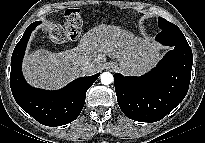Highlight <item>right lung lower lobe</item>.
<instances>
[{"mask_svg":"<svg viewBox=\"0 0 205 143\" xmlns=\"http://www.w3.org/2000/svg\"><path fill=\"white\" fill-rule=\"evenodd\" d=\"M34 22L25 30L11 58L10 86L15 101L30 116L46 126H61L74 121L81 113L86 92L100 73L80 77L58 91L35 89L28 85L21 72V63Z\"/></svg>","mask_w":205,"mask_h":143,"instance_id":"98d812e1","label":"right lung lower lobe"}]
</instances>
